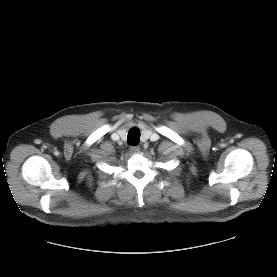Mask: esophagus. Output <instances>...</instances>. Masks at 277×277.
Here are the masks:
<instances>
[{
	"instance_id": "obj_1",
	"label": "esophagus",
	"mask_w": 277,
	"mask_h": 277,
	"mask_svg": "<svg viewBox=\"0 0 277 277\" xmlns=\"http://www.w3.org/2000/svg\"><path fill=\"white\" fill-rule=\"evenodd\" d=\"M130 150H131L132 153L136 154L140 151V147L137 146V145H133V146L130 147Z\"/></svg>"
}]
</instances>
